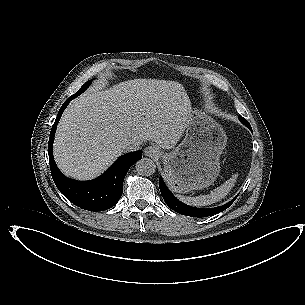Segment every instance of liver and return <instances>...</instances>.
<instances>
[{
  "instance_id": "1",
  "label": "liver",
  "mask_w": 305,
  "mask_h": 305,
  "mask_svg": "<svg viewBox=\"0 0 305 305\" xmlns=\"http://www.w3.org/2000/svg\"><path fill=\"white\" fill-rule=\"evenodd\" d=\"M183 95L172 81L162 85ZM147 85L129 80L104 90L86 92L71 101L58 124L53 152L57 166L67 177L94 179L106 171L133 139L152 141L170 149L179 141L190 118V105L154 110Z\"/></svg>"
}]
</instances>
